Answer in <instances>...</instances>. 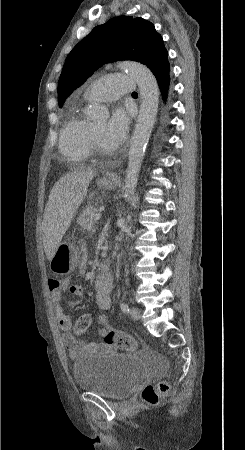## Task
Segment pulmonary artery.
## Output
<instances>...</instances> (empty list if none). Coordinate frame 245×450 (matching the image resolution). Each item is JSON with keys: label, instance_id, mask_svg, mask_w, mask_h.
Instances as JSON below:
<instances>
[{"label": "pulmonary artery", "instance_id": "pulmonary-artery-1", "mask_svg": "<svg viewBox=\"0 0 245 450\" xmlns=\"http://www.w3.org/2000/svg\"><path fill=\"white\" fill-rule=\"evenodd\" d=\"M137 81L130 75H108L93 81L84 92L89 101H111L125 94H133Z\"/></svg>", "mask_w": 245, "mask_h": 450}]
</instances>
